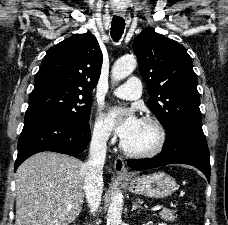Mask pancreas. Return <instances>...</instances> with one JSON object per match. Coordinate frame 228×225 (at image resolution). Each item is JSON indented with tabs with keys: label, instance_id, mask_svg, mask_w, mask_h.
I'll use <instances>...</instances> for the list:
<instances>
[{
	"label": "pancreas",
	"instance_id": "cf45deb5",
	"mask_svg": "<svg viewBox=\"0 0 228 225\" xmlns=\"http://www.w3.org/2000/svg\"><path fill=\"white\" fill-rule=\"evenodd\" d=\"M175 213L176 211H172V209H163L159 215L161 219H164V221H176L178 217L175 215Z\"/></svg>",
	"mask_w": 228,
	"mask_h": 225
}]
</instances>
